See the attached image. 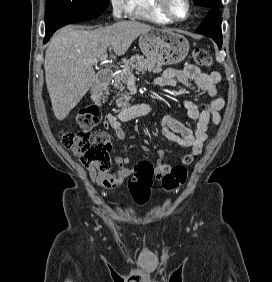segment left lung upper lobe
I'll use <instances>...</instances> for the list:
<instances>
[{
	"label": "left lung upper lobe",
	"mask_w": 272,
	"mask_h": 282,
	"mask_svg": "<svg viewBox=\"0 0 272 282\" xmlns=\"http://www.w3.org/2000/svg\"><path fill=\"white\" fill-rule=\"evenodd\" d=\"M195 4L206 9L218 8L221 0H193Z\"/></svg>",
	"instance_id": "obj_1"
}]
</instances>
